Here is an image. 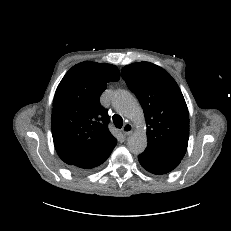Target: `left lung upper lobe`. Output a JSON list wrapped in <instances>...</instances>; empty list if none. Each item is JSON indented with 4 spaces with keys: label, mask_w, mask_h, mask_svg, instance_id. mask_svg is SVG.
<instances>
[{
    "label": "left lung upper lobe",
    "mask_w": 231,
    "mask_h": 231,
    "mask_svg": "<svg viewBox=\"0 0 231 231\" xmlns=\"http://www.w3.org/2000/svg\"><path fill=\"white\" fill-rule=\"evenodd\" d=\"M121 75L144 110L148 138L144 152L181 160L188 146L189 114L176 81L150 62L124 66Z\"/></svg>",
    "instance_id": "left-lung-upper-lobe-1"
}]
</instances>
